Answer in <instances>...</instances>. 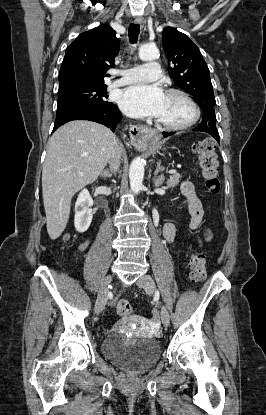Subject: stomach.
Here are the masks:
<instances>
[{
	"instance_id": "obj_1",
	"label": "stomach",
	"mask_w": 266,
	"mask_h": 415,
	"mask_svg": "<svg viewBox=\"0 0 266 415\" xmlns=\"http://www.w3.org/2000/svg\"><path fill=\"white\" fill-rule=\"evenodd\" d=\"M149 145V139H146L142 145L136 146L138 149L145 148Z\"/></svg>"
}]
</instances>
